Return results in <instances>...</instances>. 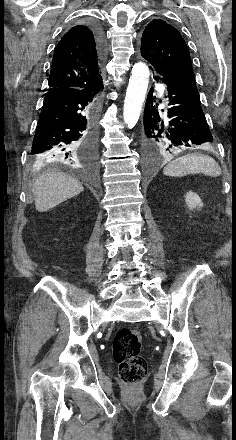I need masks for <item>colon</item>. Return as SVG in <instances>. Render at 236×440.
Segmentation results:
<instances>
[{
	"instance_id": "1",
	"label": "colon",
	"mask_w": 236,
	"mask_h": 440,
	"mask_svg": "<svg viewBox=\"0 0 236 440\" xmlns=\"http://www.w3.org/2000/svg\"><path fill=\"white\" fill-rule=\"evenodd\" d=\"M142 336L132 328H121L113 343L114 359L119 365V375L125 384H138L147 376L148 366L141 355Z\"/></svg>"
}]
</instances>
